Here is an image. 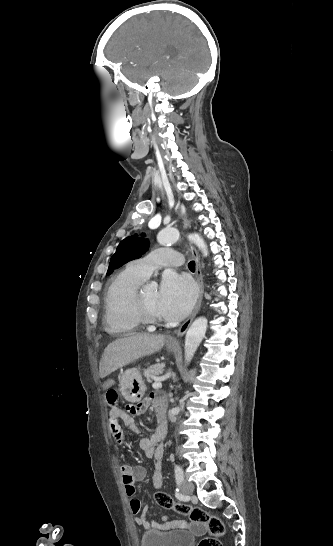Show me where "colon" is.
Instances as JSON below:
<instances>
[{
    "instance_id": "obj_1",
    "label": "colon",
    "mask_w": 333,
    "mask_h": 546,
    "mask_svg": "<svg viewBox=\"0 0 333 546\" xmlns=\"http://www.w3.org/2000/svg\"><path fill=\"white\" fill-rule=\"evenodd\" d=\"M106 398L110 406L115 407L118 404L119 395L117 391L109 390ZM154 500L160 508L187 515L193 523L203 524L208 527L210 536L203 539L199 546H222L219 538L224 534V524L218 516L208 513L201 507L177 503L165 492L155 493Z\"/></svg>"
}]
</instances>
